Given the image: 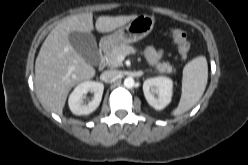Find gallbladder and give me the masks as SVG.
I'll return each instance as SVG.
<instances>
[{"label":"gallbladder","mask_w":248,"mask_h":165,"mask_svg":"<svg viewBox=\"0 0 248 165\" xmlns=\"http://www.w3.org/2000/svg\"><path fill=\"white\" fill-rule=\"evenodd\" d=\"M69 42L77 53H79L85 61L93 66H97L100 62V55L96 43V39L91 33L72 31L69 34Z\"/></svg>","instance_id":"1"}]
</instances>
